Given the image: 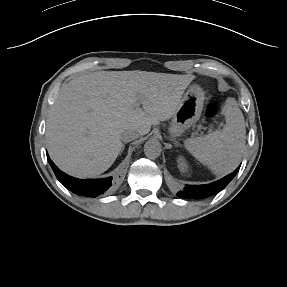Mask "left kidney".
<instances>
[{"label":"left kidney","instance_id":"5707ae66","mask_svg":"<svg viewBox=\"0 0 287 287\" xmlns=\"http://www.w3.org/2000/svg\"><path fill=\"white\" fill-rule=\"evenodd\" d=\"M179 166H181L183 169V168L187 167V164L185 163V161L183 159L180 158L179 159Z\"/></svg>","mask_w":287,"mask_h":287}]
</instances>
